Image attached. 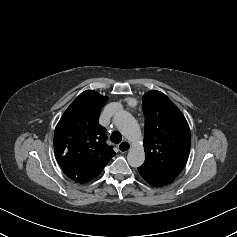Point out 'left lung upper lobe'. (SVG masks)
<instances>
[{
	"label": "left lung upper lobe",
	"mask_w": 237,
	"mask_h": 237,
	"mask_svg": "<svg viewBox=\"0 0 237 237\" xmlns=\"http://www.w3.org/2000/svg\"><path fill=\"white\" fill-rule=\"evenodd\" d=\"M142 101L146 159L141 167L174 179L189 156L188 123L181 111L160 91L147 92Z\"/></svg>",
	"instance_id": "obj_1"
}]
</instances>
